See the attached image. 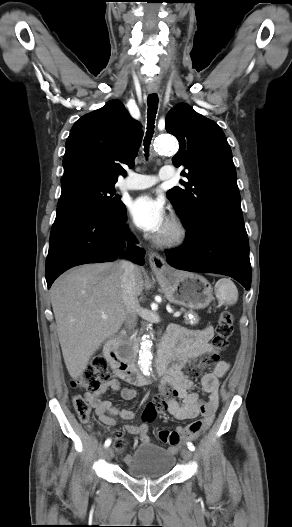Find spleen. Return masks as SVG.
Returning <instances> with one entry per match:
<instances>
[{
  "label": "spleen",
  "mask_w": 292,
  "mask_h": 527,
  "mask_svg": "<svg viewBox=\"0 0 292 527\" xmlns=\"http://www.w3.org/2000/svg\"><path fill=\"white\" fill-rule=\"evenodd\" d=\"M215 294L219 302L228 305L235 304L238 299V290L235 284L227 278H222L215 284Z\"/></svg>",
  "instance_id": "spleen-1"
}]
</instances>
